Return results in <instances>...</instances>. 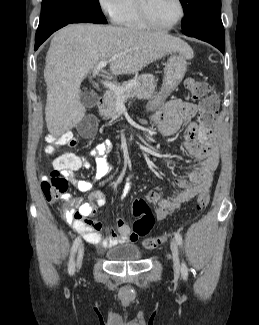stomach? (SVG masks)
<instances>
[{
  "instance_id": "stomach-1",
  "label": "stomach",
  "mask_w": 259,
  "mask_h": 325,
  "mask_svg": "<svg viewBox=\"0 0 259 325\" xmlns=\"http://www.w3.org/2000/svg\"><path fill=\"white\" fill-rule=\"evenodd\" d=\"M187 69V62L181 55H171L165 64L164 79L161 91L155 94L147 105L148 110L158 108L163 104L165 99L180 84Z\"/></svg>"
}]
</instances>
